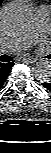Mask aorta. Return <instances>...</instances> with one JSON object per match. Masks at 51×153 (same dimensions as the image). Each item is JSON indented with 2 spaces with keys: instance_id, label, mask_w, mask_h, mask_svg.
Here are the masks:
<instances>
[{
  "instance_id": "aorta-1",
  "label": "aorta",
  "mask_w": 51,
  "mask_h": 153,
  "mask_svg": "<svg viewBox=\"0 0 51 153\" xmlns=\"http://www.w3.org/2000/svg\"><path fill=\"white\" fill-rule=\"evenodd\" d=\"M29 7L25 4L13 2L6 5L1 11V22L4 31L8 34H20L25 32L30 25ZM32 71L34 77L44 83L51 80V63L46 59L37 61Z\"/></svg>"
}]
</instances>
